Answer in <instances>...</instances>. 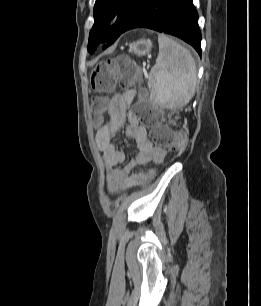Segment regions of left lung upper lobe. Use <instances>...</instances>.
<instances>
[{
	"label": "left lung upper lobe",
	"instance_id": "1",
	"mask_svg": "<svg viewBox=\"0 0 261 306\" xmlns=\"http://www.w3.org/2000/svg\"><path fill=\"white\" fill-rule=\"evenodd\" d=\"M145 0H96L94 5V25L89 34L88 52L93 53L100 43L110 46L124 32ZM117 15V22L108 27Z\"/></svg>",
	"mask_w": 261,
	"mask_h": 306
}]
</instances>
